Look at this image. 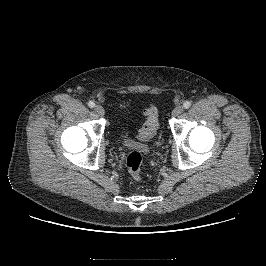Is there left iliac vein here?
<instances>
[{
    "label": "left iliac vein",
    "mask_w": 266,
    "mask_h": 266,
    "mask_svg": "<svg viewBox=\"0 0 266 266\" xmlns=\"http://www.w3.org/2000/svg\"><path fill=\"white\" fill-rule=\"evenodd\" d=\"M183 112V106L177 105L173 111H172V116H178Z\"/></svg>",
    "instance_id": "left-iliac-vein-1"
}]
</instances>
